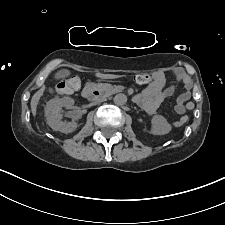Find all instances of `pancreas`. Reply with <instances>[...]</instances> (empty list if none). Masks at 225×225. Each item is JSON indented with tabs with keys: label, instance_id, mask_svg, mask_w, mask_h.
<instances>
[{
	"label": "pancreas",
	"instance_id": "cf45deb5",
	"mask_svg": "<svg viewBox=\"0 0 225 225\" xmlns=\"http://www.w3.org/2000/svg\"><path fill=\"white\" fill-rule=\"evenodd\" d=\"M98 88L106 95H110L119 90L118 86H112L111 84H98Z\"/></svg>",
	"mask_w": 225,
	"mask_h": 225
}]
</instances>
